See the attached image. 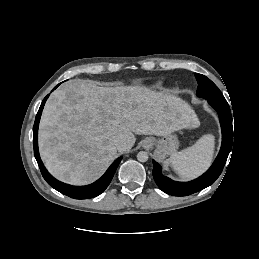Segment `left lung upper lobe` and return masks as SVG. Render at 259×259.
<instances>
[{"label": "left lung upper lobe", "instance_id": "obj_1", "mask_svg": "<svg viewBox=\"0 0 259 259\" xmlns=\"http://www.w3.org/2000/svg\"><path fill=\"white\" fill-rule=\"evenodd\" d=\"M198 82L197 96L205 99H225L219 88L206 76L195 73Z\"/></svg>", "mask_w": 259, "mask_h": 259}]
</instances>
